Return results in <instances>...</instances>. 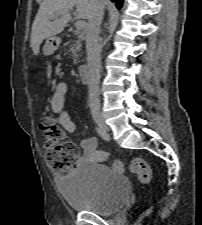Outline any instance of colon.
Returning a JSON list of instances; mask_svg holds the SVG:
<instances>
[{
	"label": "colon",
	"instance_id": "obj_1",
	"mask_svg": "<svg viewBox=\"0 0 202 225\" xmlns=\"http://www.w3.org/2000/svg\"><path fill=\"white\" fill-rule=\"evenodd\" d=\"M39 128L45 134V156L48 166L57 176L68 177L72 174L80 157L79 147L73 142L63 140V133L57 127L54 118H42ZM113 167L123 170L124 164L119 160H113ZM130 172L136 175L141 183H148L152 178L149 163L141 157L131 161Z\"/></svg>",
	"mask_w": 202,
	"mask_h": 225
}]
</instances>
